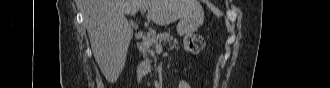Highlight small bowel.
Returning <instances> with one entry per match:
<instances>
[{
    "mask_svg": "<svg viewBox=\"0 0 330 88\" xmlns=\"http://www.w3.org/2000/svg\"><path fill=\"white\" fill-rule=\"evenodd\" d=\"M178 88H191V85L188 81L181 79L178 82Z\"/></svg>",
    "mask_w": 330,
    "mask_h": 88,
    "instance_id": "c3829d8e",
    "label": "small bowel"
}]
</instances>
